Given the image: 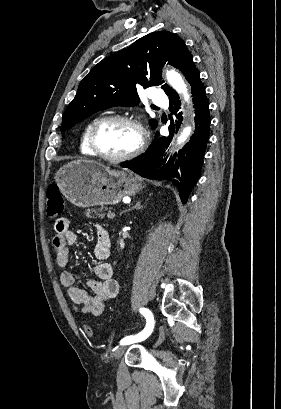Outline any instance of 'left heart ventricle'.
I'll use <instances>...</instances> for the list:
<instances>
[{"mask_svg":"<svg viewBox=\"0 0 281 409\" xmlns=\"http://www.w3.org/2000/svg\"><path fill=\"white\" fill-rule=\"evenodd\" d=\"M138 143L137 130L124 122H110L101 128L98 135L100 151L112 157L132 151Z\"/></svg>","mask_w":281,"mask_h":409,"instance_id":"b2bd125f","label":"left heart ventricle"}]
</instances>
